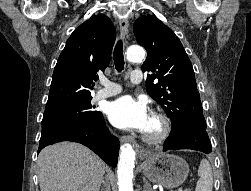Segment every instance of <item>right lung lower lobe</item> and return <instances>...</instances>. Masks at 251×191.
Masks as SVG:
<instances>
[{
    "label": "right lung lower lobe",
    "mask_w": 251,
    "mask_h": 191,
    "mask_svg": "<svg viewBox=\"0 0 251 191\" xmlns=\"http://www.w3.org/2000/svg\"><path fill=\"white\" fill-rule=\"evenodd\" d=\"M61 141L81 143L98 154L107 164L117 166L119 141L109 133L103 118L96 123L71 120L42 130L38 153L45 146Z\"/></svg>",
    "instance_id": "obj_1"
}]
</instances>
